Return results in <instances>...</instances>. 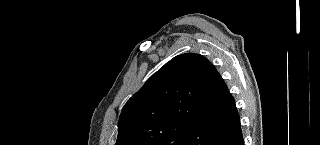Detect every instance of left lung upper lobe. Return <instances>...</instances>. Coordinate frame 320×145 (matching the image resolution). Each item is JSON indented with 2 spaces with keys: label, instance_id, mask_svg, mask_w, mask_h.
I'll use <instances>...</instances> for the list:
<instances>
[{
  "label": "left lung upper lobe",
  "instance_id": "5c2ea615",
  "mask_svg": "<svg viewBox=\"0 0 320 145\" xmlns=\"http://www.w3.org/2000/svg\"><path fill=\"white\" fill-rule=\"evenodd\" d=\"M215 70L195 53L167 62L123 107L116 145H182L210 106Z\"/></svg>",
  "mask_w": 320,
  "mask_h": 145
}]
</instances>
